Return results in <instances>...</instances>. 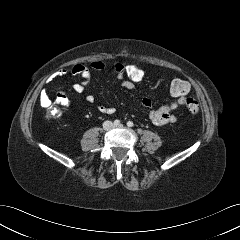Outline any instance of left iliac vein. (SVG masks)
<instances>
[{"label":"left iliac vein","instance_id":"obj_1","mask_svg":"<svg viewBox=\"0 0 240 240\" xmlns=\"http://www.w3.org/2000/svg\"><path fill=\"white\" fill-rule=\"evenodd\" d=\"M123 125H119L118 127H122ZM117 127V126H116Z\"/></svg>","mask_w":240,"mask_h":240}]
</instances>
